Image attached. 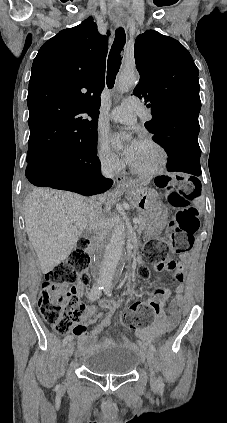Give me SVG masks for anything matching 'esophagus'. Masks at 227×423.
<instances>
[{"instance_id": "34e87169", "label": "esophagus", "mask_w": 227, "mask_h": 423, "mask_svg": "<svg viewBox=\"0 0 227 423\" xmlns=\"http://www.w3.org/2000/svg\"><path fill=\"white\" fill-rule=\"evenodd\" d=\"M118 23H120V22H118ZM126 182H128V178H126V176H124V175H117V177H116V183L117 184H124Z\"/></svg>"}]
</instances>
